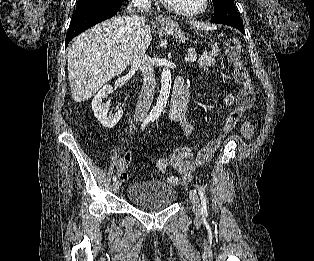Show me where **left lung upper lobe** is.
Here are the masks:
<instances>
[{
    "label": "left lung upper lobe",
    "mask_w": 314,
    "mask_h": 261,
    "mask_svg": "<svg viewBox=\"0 0 314 261\" xmlns=\"http://www.w3.org/2000/svg\"><path fill=\"white\" fill-rule=\"evenodd\" d=\"M214 5L213 23L229 26L243 25L242 20L235 8L234 0H212Z\"/></svg>",
    "instance_id": "5c2ea615"
}]
</instances>
